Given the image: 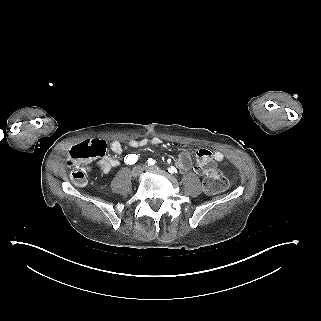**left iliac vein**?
I'll return each instance as SVG.
<instances>
[{"mask_svg":"<svg viewBox=\"0 0 321 321\" xmlns=\"http://www.w3.org/2000/svg\"><path fill=\"white\" fill-rule=\"evenodd\" d=\"M145 169L148 170V171H160V169L157 168V167H148V166H146Z\"/></svg>","mask_w":321,"mask_h":321,"instance_id":"1","label":"left iliac vein"}]
</instances>
